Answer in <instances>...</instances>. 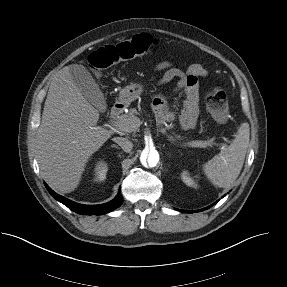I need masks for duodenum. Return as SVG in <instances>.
<instances>
[{"label": "duodenum", "mask_w": 287, "mask_h": 287, "mask_svg": "<svg viewBox=\"0 0 287 287\" xmlns=\"http://www.w3.org/2000/svg\"><path fill=\"white\" fill-rule=\"evenodd\" d=\"M124 110V104L122 102H116L110 110L109 116L111 119H116Z\"/></svg>", "instance_id": "1"}]
</instances>
